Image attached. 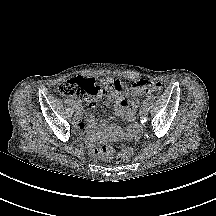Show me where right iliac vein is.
Masks as SVG:
<instances>
[{"label":"right iliac vein","mask_w":216,"mask_h":216,"mask_svg":"<svg viewBox=\"0 0 216 216\" xmlns=\"http://www.w3.org/2000/svg\"><path fill=\"white\" fill-rule=\"evenodd\" d=\"M76 114L77 115H80L81 114V112H82V107H81V105L80 106H76Z\"/></svg>","instance_id":"right-iliac-vein-1"}]
</instances>
